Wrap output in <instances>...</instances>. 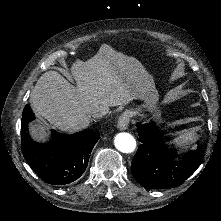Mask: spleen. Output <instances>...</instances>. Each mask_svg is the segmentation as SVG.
I'll return each mask as SVG.
<instances>
[{
    "mask_svg": "<svg viewBox=\"0 0 221 221\" xmlns=\"http://www.w3.org/2000/svg\"><path fill=\"white\" fill-rule=\"evenodd\" d=\"M199 139L197 133H185L167 142V145L190 146Z\"/></svg>",
    "mask_w": 221,
    "mask_h": 221,
    "instance_id": "obj_1",
    "label": "spleen"
}]
</instances>
